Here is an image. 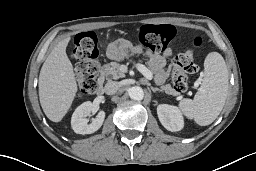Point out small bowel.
Instances as JSON below:
<instances>
[{
  "label": "small bowel",
  "instance_id": "small-bowel-1",
  "mask_svg": "<svg viewBox=\"0 0 256 171\" xmlns=\"http://www.w3.org/2000/svg\"><path fill=\"white\" fill-rule=\"evenodd\" d=\"M128 50L132 53L143 52V49L139 46H128ZM148 57L150 68L154 72V81L156 84H162L167 78V71L164 69L170 52L167 51L163 54L152 53L151 51H145Z\"/></svg>",
  "mask_w": 256,
  "mask_h": 171
}]
</instances>
